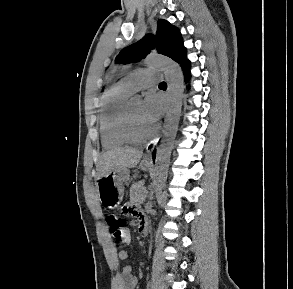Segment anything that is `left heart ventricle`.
I'll return each instance as SVG.
<instances>
[{
    "instance_id": "b2bd125f",
    "label": "left heart ventricle",
    "mask_w": 293,
    "mask_h": 289,
    "mask_svg": "<svg viewBox=\"0 0 293 289\" xmlns=\"http://www.w3.org/2000/svg\"><path fill=\"white\" fill-rule=\"evenodd\" d=\"M130 113L133 121L135 134L144 138L153 130L155 125L150 124L143 116V106L141 103L130 104Z\"/></svg>"
}]
</instances>
